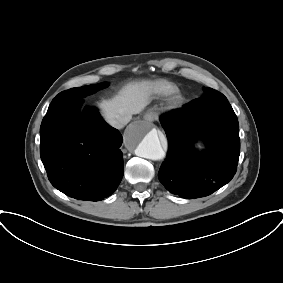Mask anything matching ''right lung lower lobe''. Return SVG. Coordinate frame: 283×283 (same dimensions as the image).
Here are the masks:
<instances>
[{
	"instance_id": "1",
	"label": "right lung lower lobe",
	"mask_w": 283,
	"mask_h": 283,
	"mask_svg": "<svg viewBox=\"0 0 283 283\" xmlns=\"http://www.w3.org/2000/svg\"><path fill=\"white\" fill-rule=\"evenodd\" d=\"M82 98L54 99L40 127V155L51 184L79 200L111 195L123 177L122 136Z\"/></svg>"
}]
</instances>
